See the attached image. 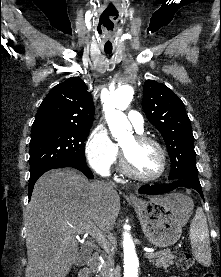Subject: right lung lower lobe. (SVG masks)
<instances>
[{
    "label": "right lung lower lobe",
    "instance_id": "98d812e1",
    "mask_svg": "<svg viewBox=\"0 0 221 277\" xmlns=\"http://www.w3.org/2000/svg\"><path fill=\"white\" fill-rule=\"evenodd\" d=\"M63 167H72V168L78 169L82 173H84L89 179H93V174H92L91 170L89 169V167L85 163L78 162V161H70V162L63 163V164H61L59 166H56L55 168H63ZM49 170H51V169H49ZM49 170H46V171L42 172L41 174H39V175H37L35 177H30V180H29V192H28L29 198L31 197L32 190H33L34 184L37 181V179L43 173H45V172H47Z\"/></svg>",
    "mask_w": 221,
    "mask_h": 277
}]
</instances>
